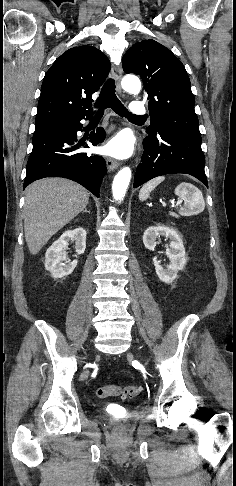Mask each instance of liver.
Masks as SVG:
<instances>
[{
  "instance_id": "1",
  "label": "liver",
  "mask_w": 236,
  "mask_h": 486,
  "mask_svg": "<svg viewBox=\"0 0 236 486\" xmlns=\"http://www.w3.org/2000/svg\"><path fill=\"white\" fill-rule=\"evenodd\" d=\"M88 201V191L68 179L46 178L29 185L25 191L24 231L30 253L37 254L86 208Z\"/></svg>"
}]
</instances>
